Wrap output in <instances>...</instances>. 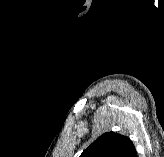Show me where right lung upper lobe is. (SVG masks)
I'll list each match as a JSON object with an SVG mask.
<instances>
[{
	"instance_id": "right-lung-upper-lobe-1",
	"label": "right lung upper lobe",
	"mask_w": 164,
	"mask_h": 157,
	"mask_svg": "<svg viewBox=\"0 0 164 157\" xmlns=\"http://www.w3.org/2000/svg\"><path fill=\"white\" fill-rule=\"evenodd\" d=\"M135 151L128 137L107 132L97 138L79 157H133Z\"/></svg>"
}]
</instances>
